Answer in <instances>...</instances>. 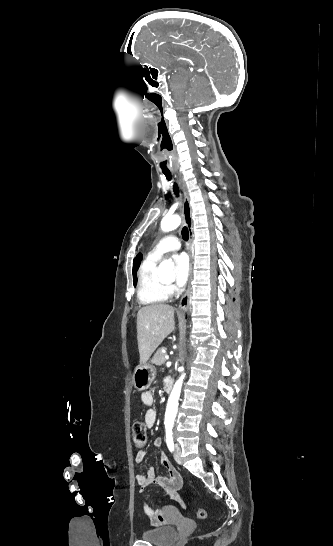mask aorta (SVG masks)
<instances>
[{"mask_svg":"<svg viewBox=\"0 0 333 546\" xmlns=\"http://www.w3.org/2000/svg\"><path fill=\"white\" fill-rule=\"evenodd\" d=\"M180 224H181V218L179 215L175 214L171 216H166L161 221V229L164 232H169L176 229ZM156 272L160 278H169V279L175 278L174 265L172 261H169V260L162 261L159 264V267ZM181 372L182 374L179 377V379L176 381L168 399L167 409L165 413V425L167 428L173 427L174 420L177 414L178 400L180 397L181 388H182L183 380L185 377L183 367H181Z\"/></svg>","mask_w":333,"mask_h":546,"instance_id":"1","label":"aorta"}]
</instances>
